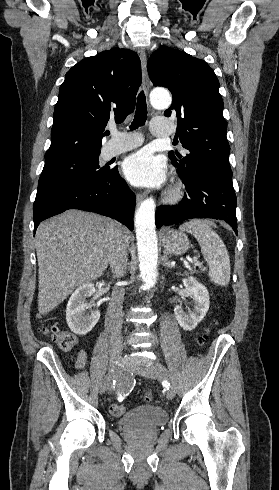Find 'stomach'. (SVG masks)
I'll return each mask as SVG.
<instances>
[{"instance_id": "0dacf381", "label": "stomach", "mask_w": 279, "mask_h": 490, "mask_svg": "<svg viewBox=\"0 0 279 490\" xmlns=\"http://www.w3.org/2000/svg\"><path fill=\"white\" fill-rule=\"evenodd\" d=\"M161 240L166 252L172 254V256H181V254L188 252L190 248L186 234L179 232V230L163 228L161 230Z\"/></svg>"}]
</instances>
